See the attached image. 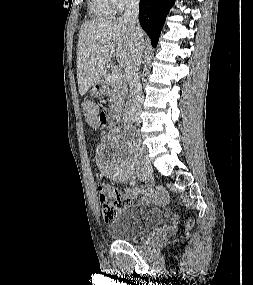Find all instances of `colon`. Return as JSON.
<instances>
[{
	"instance_id": "colon-1",
	"label": "colon",
	"mask_w": 253,
	"mask_h": 285,
	"mask_svg": "<svg viewBox=\"0 0 253 285\" xmlns=\"http://www.w3.org/2000/svg\"><path fill=\"white\" fill-rule=\"evenodd\" d=\"M84 115L87 122L92 126V128H99V112H97V110L91 104L85 105ZM98 192L102 204L103 216L106 221L114 219L116 213L119 210L129 206L132 203V199L130 196H128L123 191L112 187L100 186ZM187 226L191 227L192 222L189 221L187 223Z\"/></svg>"
}]
</instances>
